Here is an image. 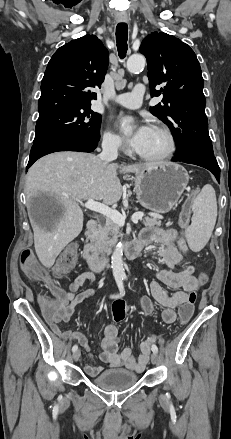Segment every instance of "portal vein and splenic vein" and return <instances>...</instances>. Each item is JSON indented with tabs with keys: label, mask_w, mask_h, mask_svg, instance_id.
Returning <instances> with one entry per match:
<instances>
[{
	"label": "portal vein and splenic vein",
	"mask_w": 231,
	"mask_h": 439,
	"mask_svg": "<svg viewBox=\"0 0 231 439\" xmlns=\"http://www.w3.org/2000/svg\"><path fill=\"white\" fill-rule=\"evenodd\" d=\"M86 209H89L93 212L100 213L108 218H110L114 223L119 226H123L125 224V216L119 213L117 210L111 209L105 204L95 201L92 198H89L86 203L83 204ZM144 213L139 212L133 214L131 217L132 222L136 223L138 220L142 219Z\"/></svg>",
	"instance_id": "obj_1"
}]
</instances>
